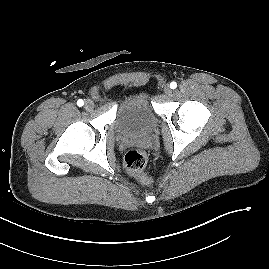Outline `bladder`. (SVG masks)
Instances as JSON below:
<instances>
[{
	"mask_svg": "<svg viewBox=\"0 0 269 269\" xmlns=\"http://www.w3.org/2000/svg\"><path fill=\"white\" fill-rule=\"evenodd\" d=\"M157 123V114L145 89H137L119 100L115 127L120 135L146 136L156 128Z\"/></svg>",
	"mask_w": 269,
	"mask_h": 269,
	"instance_id": "1",
	"label": "bladder"
}]
</instances>
